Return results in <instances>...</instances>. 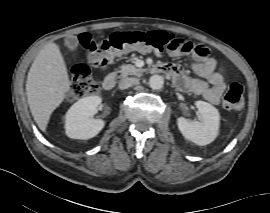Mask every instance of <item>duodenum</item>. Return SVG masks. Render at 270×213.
Returning <instances> with one entry per match:
<instances>
[{
  "mask_svg": "<svg viewBox=\"0 0 270 213\" xmlns=\"http://www.w3.org/2000/svg\"><path fill=\"white\" fill-rule=\"evenodd\" d=\"M152 70L156 73H167V70L163 67H154L152 68ZM123 78L124 74L122 72L108 75L102 83V88L106 91H111L115 88L116 84Z\"/></svg>",
  "mask_w": 270,
  "mask_h": 213,
  "instance_id": "1",
  "label": "duodenum"
}]
</instances>
